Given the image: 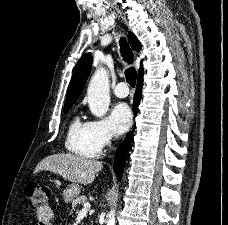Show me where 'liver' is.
<instances>
[{
	"label": "liver",
	"mask_w": 228,
	"mask_h": 225,
	"mask_svg": "<svg viewBox=\"0 0 228 225\" xmlns=\"http://www.w3.org/2000/svg\"><path fill=\"white\" fill-rule=\"evenodd\" d=\"M103 169L100 161L85 159L78 155H50L38 163L35 173L39 171H51L56 175H61L64 181L70 183H80V185H90L95 179L96 173Z\"/></svg>",
	"instance_id": "liver-1"
}]
</instances>
